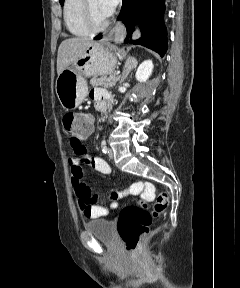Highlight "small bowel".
Here are the masks:
<instances>
[{
    "mask_svg": "<svg viewBox=\"0 0 240 288\" xmlns=\"http://www.w3.org/2000/svg\"><path fill=\"white\" fill-rule=\"evenodd\" d=\"M90 97L95 101L96 107L100 111H104L112 101L109 93L102 88H94L91 90ZM85 138L86 136L81 138H71L70 143L76 156L69 160V164L72 174V185L77 198L79 210L83 218L90 220L107 215L108 210L98 204L99 195L94 193L92 189L86 185L84 181V167H90L102 174H110L111 168L104 159L100 157H92L87 153L83 144ZM147 188L146 195L151 196L153 193V187L148 186ZM112 207H116V203H113Z\"/></svg>",
    "mask_w": 240,
    "mask_h": 288,
    "instance_id": "1",
    "label": "small bowel"
}]
</instances>
